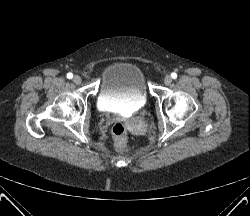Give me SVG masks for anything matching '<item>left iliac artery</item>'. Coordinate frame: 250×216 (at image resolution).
<instances>
[{"mask_svg":"<svg viewBox=\"0 0 250 216\" xmlns=\"http://www.w3.org/2000/svg\"><path fill=\"white\" fill-rule=\"evenodd\" d=\"M171 77H172L173 79H176V78H177V74H176V73H172V74H171Z\"/></svg>","mask_w":250,"mask_h":216,"instance_id":"left-iliac-artery-1","label":"left iliac artery"}]
</instances>
